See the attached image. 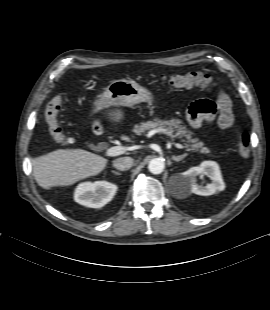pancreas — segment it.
I'll return each instance as SVG.
<instances>
[{"label":"pancreas","instance_id":"1","mask_svg":"<svg viewBox=\"0 0 270 310\" xmlns=\"http://www.w3.org/2000/svg\"><path fill=\"white\" fill-rule=\"evenodd\" d=\"M181 121L178 119L172 120H159L154 119V121L142 122L140 125H135L133 132L136 135L144 134L147 130H159L160 133L169 135L172 137L185 138L187 140H182L188 151L200 152L202 154L210 155L211 150L204 146V143L199 141L198 138L192 137V132L188 130L185 126L180 125ZM175 132V134H173Z\"/></svg>","mask_w":270,"mask_h":310}]
</instances>
